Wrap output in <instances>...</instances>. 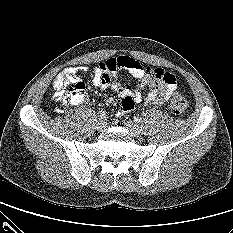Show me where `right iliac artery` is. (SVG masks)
Masks as SVG:
<instances>
[{"instance_id": "right-iliac-artery-1", "label": "right iliac artery", "mask_w": 233, "mask_h": 233, "mask_svg": "<svg viewBox=\"0 0 233 233\" xmlns=\"http://www.w3.org/2000/svg\"><path fill=\"white\" fill-rule=\"evenodd\" d=\"M99 119H105L106 118V113L104 111L100 112L98 115Z\"/></svg>"}]
</instances>
